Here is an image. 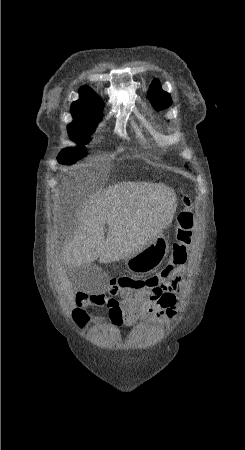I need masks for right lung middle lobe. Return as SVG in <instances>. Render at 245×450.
Listing matches in <instances>:
<instances>
[{"mask_svg": "<svg viewBox=\"0 0 245 450\" xmlns=\"http://www.w3.org/2000/svg\"><path fill=\"white\" fill-rule=\"evenodd\" d=\"M103 106L85 109L74 117V121L67 126L69 137L73 141H85L102 117ZM84 144V143H83ZM84 146L76 147L72 151H63L57 157L60 164L71 165L87 155Z\"/></svg>", "mask_w": 245, "mask_h": 450, "instance_id": "obj_1", "label": "right lung middle lobe"}]
</instances>
